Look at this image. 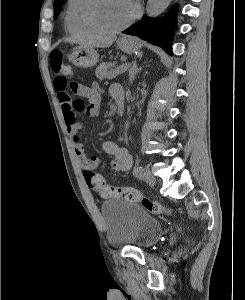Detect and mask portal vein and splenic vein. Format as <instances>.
Masks as SVG:
<instances>
[{
    "instance_id": "portal-vein-and-splenic-vein-1",
    "label": "portal vein and splenic vein",
    "mask_w": 245,
    "mask_h": 300,
    "mask_svg": "<svg viewBox=\"0 0 245 300\" xmlns=\"http://www.w3.org/2000/svg\"><path fill=\"white\" fill-rule=\"evenodd\" d=\"M129 64H123L121 66H119L114 72H113V77L118 76L122 73H124L127 68H128Z\"/></svg>"
}]
</instances>
